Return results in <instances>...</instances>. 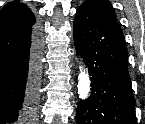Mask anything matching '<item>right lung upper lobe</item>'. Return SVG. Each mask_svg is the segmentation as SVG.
Segmentation results:
<instances>
[{"label":"right lung upper lobe","mask_w":145,"mask_h":124,"mask_svg":"<svg viewBox=\"0 0 145 124\" xmlns=\"http://www.w3.org/2000/svg\"><path fill=\"white\" fill-rule=\"evenodd\" d=\"M36 20L26 5L18 0L8 3L0 11V32H15L31 27Z\"/></svg>","instance_id":"right-lung-upper-lobe-1"}]
</instances>
